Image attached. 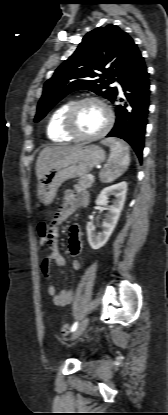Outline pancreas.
<instances>
[{
  "label": "pancreas",
  "mask_w": 168,
  "mask_h": 415,
  "mask_svg": "<svg viewBox=\"0 0 168 415\" xmlns=\"http://www.w3.org/2000/svg\"><path fill=\"white\" fill-rule=\"evenodd\" d=\"M94 179H88V176H83L77 180V184L74 185L75 190L84 191L92 186Z\"/></svg>",
  "instance_id": "pancreas-1"
}]
</instances>
